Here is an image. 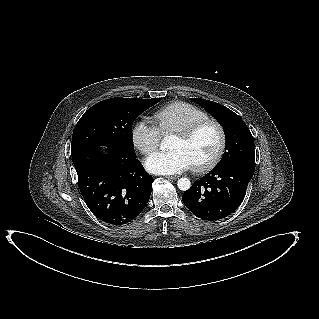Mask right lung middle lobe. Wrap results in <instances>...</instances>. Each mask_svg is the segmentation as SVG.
<instances>
[{
	"mask_svg": "<svg viewBox=\"0 0 319 319\" xmlns=\"http://www.w3.org/2000/svg\"><path fill=\"white\" fill-rule=\"evenodd\" d=\"M160 100L115 97L95 104L83 114L74 128L72 156L101 145H107L126 157L135 156L133 121Z\"/></svg>",
	"mask_w": 319,
	"mask_h": 319,
	"instance_id": "dd1d6c3e",
	"label": "right lung middle lobe"
}]
</instances>
